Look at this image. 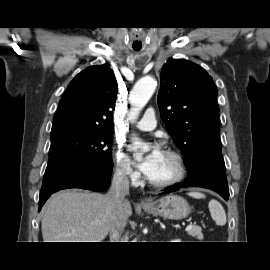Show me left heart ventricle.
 <instances>
[{
    "mask_svg": "<svg viewBox=\"0 0 270 270\" xmlns=\"http://www.w3.org/2000/svg\"><path fill=\"white\" fill-rule=\"evenodd\" d=\"M175 174V160L164 153L155 171L149 178L156 182H162L172 178Z\"/></svg>",
    "mask_w": 270,
    "mask_h": 270,
    "instance_id": "obj_1",
    "label": "left heart ventricle"
}]
</instances>
